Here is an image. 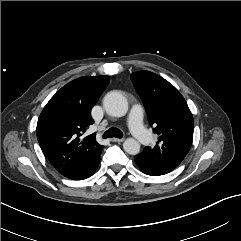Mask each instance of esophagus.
<instances>
[{
    "instance_id": "esophagus-1",
    "label": "esophagus",
    "mask_w": 241,
    "mask_h": 241,
    "mask_svg": "<svg viewBox=\"0 0 241 241\" xmlns=\"http://www.w3.org/2000/svg\"><path fill=\"white\" fill-rule=\"evenodd\" d=\"M111 141L112 142H123L124 138H112Z\"/></svg>"
}]
</instances>
